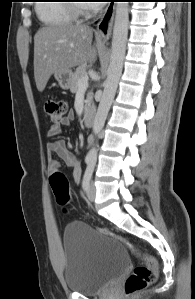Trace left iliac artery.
Masks as SVG:
<instances>
[{
    "label": "left iliac artery",
    "instance_id": "obj_1",
    "mask_svg": "<svg viewBox=\"0 0 195 299\" xmlns=\"http://www.w3.org/2000/svg\"><path fill=\"white\" fill-rule=\"evenodd\" d=\"M94 167H95V162L90 161L87 163V168L85 170L83 180H82V187L85 191H87L89 188V184H90V180L92 178Z\"/></svg>",
    "mask_w": 195,
    "mask_h": 299
}]
</instances>
